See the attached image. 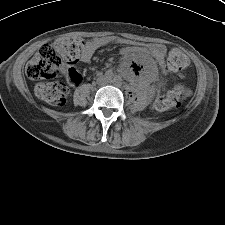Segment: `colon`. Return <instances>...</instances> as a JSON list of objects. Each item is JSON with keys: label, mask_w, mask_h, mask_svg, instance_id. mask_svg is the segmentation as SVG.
Masks as SVG:
<instances>
[{"label": "colon", "mask_w": 225, "mask_h": 225, "mask_svg": "<svg viewBox=\"0 0 225 225\" xmlns=\"http://www.w3.org/2000/svg\"><path fill=\"white\" fill-rule=\"evenodd\" d=\"M82 48L79 37H61L53 43L44 44L26 66V75L32 81H37L36 95L52 106L65 104L69 89L63 81H54L63 67L77 62ZM188 65L184 52L174 49L167 57V69L170 72H181ZM67 79L72 84H79L82 75L74 68L67 71ZM189 90L177 85L165 94L159 95L154 102L158 111L177 108L188 96Z\"/></svg>", "instance_id": "obj_1"}]
</instances>
